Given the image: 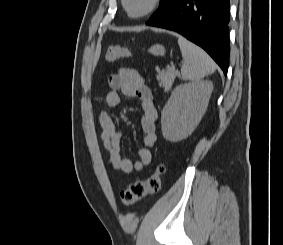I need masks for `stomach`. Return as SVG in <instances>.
Returning a JSON list of instances; mask_svg holds the SVG:
<instances>
[{
  "label": "stomach",
  "instance_id": "obj_1",
  "mask_svg": "<svg viewBox=\"0 0 283 245\" xmlns=\"http://www.w3.org/2000/svg\"><path fill=\"white\" fill-rule=\"evenodd\" d=\"M149 52L156 56H163L165 54V48L162 45L156 44L149 49Z\"/></svg>",
  "mask_w": 283,
  "mask_h": 245
}]
</instances>
